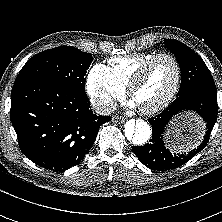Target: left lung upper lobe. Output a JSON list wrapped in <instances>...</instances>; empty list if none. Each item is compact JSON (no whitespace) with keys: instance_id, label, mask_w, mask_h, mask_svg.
I'll return each mask as SVG.
<instances>
[{"instance_id":"1","label":"left lung upper lobe","mask_w":222,"mask_h":222,"mask_svg":"<svg viewBox=\"0 0 222 222\" xmlns=\"http://www.w3.org/2000/svg\"><path fill=\"white\" fill-rule=\"evenodd\" d=\"M164 42L175 54L181 69V85L178 95L192 90L217 93L212 75L198 54L177 40L167 39Z\"/></svg>"}]
</instances>
